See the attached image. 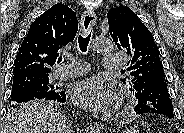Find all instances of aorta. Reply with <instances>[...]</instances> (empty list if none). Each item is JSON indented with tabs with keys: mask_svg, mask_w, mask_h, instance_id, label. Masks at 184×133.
Returning a JSON list of instances; mask_svg holds the SVG:
<instances>
[{
	"mask_svg": "<svg viewBox=\"0 0 184 133\" xmlns=\"http://www.w3.org/2000/svg\"><path fill=\"white\" fill-rule=\"evenodd\" d=\"M91 47L96 52H109L113 49V43L107 38L95 37L92 40Z\"/></svg>",
	"mask_w": 184,
	"mask_h": 133,
	"instance_id": "aorta-1",
	"label": "aorta"
}]
</instances>
